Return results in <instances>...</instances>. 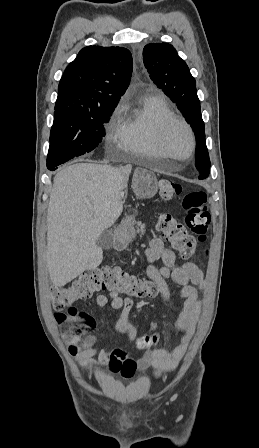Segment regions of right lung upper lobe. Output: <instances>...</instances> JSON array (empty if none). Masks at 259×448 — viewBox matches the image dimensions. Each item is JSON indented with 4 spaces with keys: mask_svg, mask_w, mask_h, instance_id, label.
<instances>
[{
    "mask_svg": "<svg viewBox=\"0 0 259 448\" xmlns=\"http://www.w3.org/2000/svg\"><path fill=\"white\" fill-rule=\"evenodd\" d=\"M132 69V55L126 48H83L60 80L55 113L115 108L130 83Z\"/></svg>",
    "mask_w": 259,
    "mask_h": 448,
    "instance_id": "obj_1",
    "label": "right lung upper lobe"
}]
</instances>
